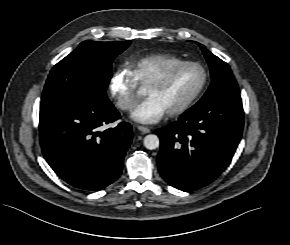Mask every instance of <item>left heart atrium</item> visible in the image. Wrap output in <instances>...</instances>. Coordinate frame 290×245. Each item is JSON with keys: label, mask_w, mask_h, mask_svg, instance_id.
I'll return each instance as SVG.
<instances>
[{"label": "left heart atrium", "mask_w": 290, "mask_h": 245, "mask_svg": "<svg viewBox=\"0 0 290 245\" xmlns=\"http://www.w3.org/2000/svg\"><path fill=\"white\" fill-rule=\"evenodd\" d=\"M167 113L163 105L154 97H147L133 110L131 117L140 123H156Z\"/></svg>", "instance_id": "left-heart-atrium-1"}]
</instances>
